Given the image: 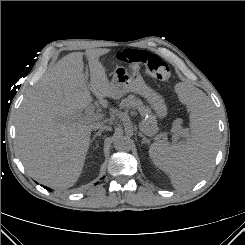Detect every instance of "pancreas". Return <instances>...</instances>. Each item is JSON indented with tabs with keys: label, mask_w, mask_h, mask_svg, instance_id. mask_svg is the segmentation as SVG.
<instances>
[{
	"label": "pancreas",
	"mask_w": 245,
	"mask_h": 245,
	"mask_svg": "<svg viewBox=\"0 0 245 245\" xmlns=\"http://www.w3.org/2000/svg\"><path fill=\"white\" fill-rule=\"evenodd\" d=\"M121 106L127 109H138L141 115H148V119L144 121L145 128L148 129L152 135L157 132L156 117L152 114L151 110L145 107L140 99H137L133 95H129L128 98L123 99Z\"/></svg>",
	"instance_id": "pancreas-1"
}]
</instances>
